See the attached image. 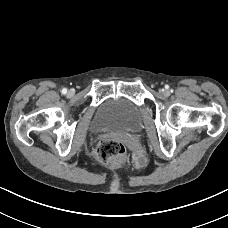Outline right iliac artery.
Here are the masks:
<instances>
[{"label": "right iliac artery", "instance_id": "obj_1", "mask_svg": "<svg viewBox=\"0 0 228 228\" xmlns=\"http://www.w3.org/2000/svg\"><path fill=\"white\" fill-rule=\"evenodd\" d=\"M67 93V89L66 88H63L62 89V94H66Z\"/></svg>", "mask_w": 228, "mask_h": 228}]
</instances>
